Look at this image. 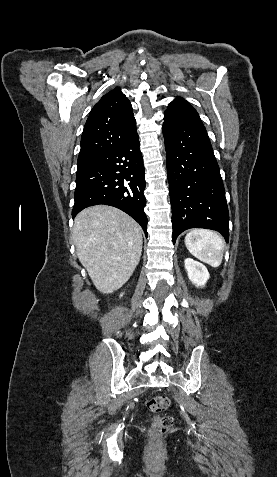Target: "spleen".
Wrapping results in <instances>:
<instances>
[{"label": "spleen", "mask_w": 277, "mask_h": 477, "mask_svg": "<svg viewBox=\"0 0 277 477\" xmlns=\"http://www.w3.org/2000/svg\"><path fill=\"white\" fill-rule=\"evenodd\" d=\"M184 241L189 252L199 260L212 267L220 266L224 241L219 234L211 230L194 229L185 236Z\"/></svg>", "instance_id": "3e777b00"}]
</instances>
